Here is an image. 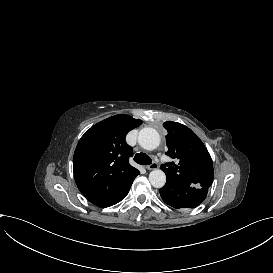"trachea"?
Returning a JSON list of instances; mask_svg holds the SVG:
<instances>
[{
    "label": "trachea",
    "instance_id": "1",
    "mask_svg": "<svg viewBox=\"0 0 273 273\" xmlns=\"http://www.w3.org/2000/svg\"><path fill=\"white\" fill-rule=\"evenodd\" d=\"M134 161L140 165H150L152 164V160L151 158L146 155V154H143V153H137L135 156H134Z\"/></svg>",
    "mask_w": 273,
    "mask_h": 273
}]
</instances>
